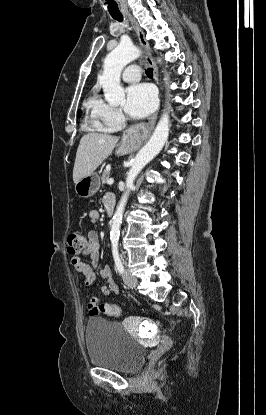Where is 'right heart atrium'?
I'll use <instances>...</instances> for the list:
<instances>
[{
    "label": "right heart atrium",
    "instance_id": "right-heart-atrium-1",
    "mask_svg": "<svg viewBox=\"0 0 266 415\" xmlns=\"http://www.w3.org/2000/svg\"><path fill=\"white\" fill-rule=\"evenodd\" d=\"M95 114L108 129L118 128L124 122L122 111L102 100L97 101L95 105Z\"/></svg>",
    "mask_w": 266,
    "mask_h": 415
}]
</instances>
